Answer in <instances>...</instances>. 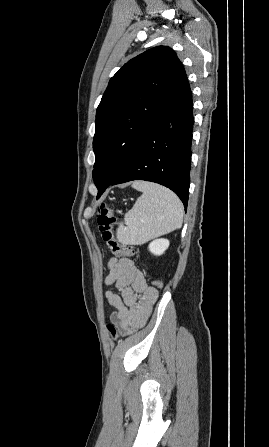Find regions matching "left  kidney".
Listing matches in <instances>:
<instances>
[{
	"mask_svg": "<svg viewBox=\"0 0 269 447\" xmlns=\"http://www.w3.org/2000/svg\"><path fill=\"white\" fill-rule=\"evenodd\" d=\"M149 251L154 253V255H161L164 253L165 249L169 247V239H164V237H160V239H153L151 243L148 245Z\"/></svg>",
	"mask_w": 269,
	"mask_h": 447,
	"instance_id": "obj_1",
	"label": "left kidney"
}]
</instances>
